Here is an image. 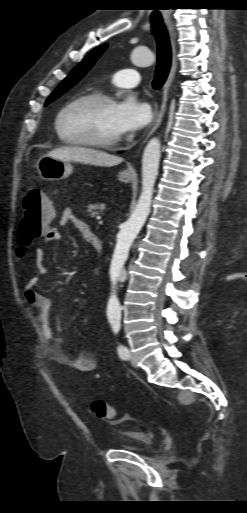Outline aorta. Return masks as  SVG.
<instances>
[{"mask_svg": "<svg viewBox=\"0 0 247 513\" xmlns=\"http://www.w3.org/2000/svg\"><path fill=\"white\" fill-rule=\"evenodd\" d=\"M154 59L151 51L142 48L134 49L131 55V60L136 66H150ZM160 148V140L154 137L150 139L144 149L142 156V191L133 213L123 225L117 237L110 266V277L114 289L108 305V317L111 321L119 322L121 319V306L115 295L116 284L121 279L130 247L150 213L154 185L159 169Z\"/></svg>", "mask_w": 247, "mask_h": 513, "instance_id": "1", "label": "aorta"}]
</instances>
